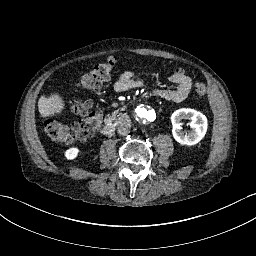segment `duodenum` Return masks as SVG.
Here are the masks:
<instances>
[{
  "label": "duodenum",
  "mask_w": 256,
  "mask_h": 256,
  "mask_svg": "<svg viewBox=\"0 0 256 256\" xmlns=\"http://www.w3.org/2000/svg\"><path fill=\"white\" fill-rule=\"evenodd\" d=\"M127 117L128 118H133L134 117V112L133 111H128L127 112ZM127 117H125V116L120 117V119H119L120 124H122V125L127 124V122H128ZM117 125H118V121L117 120H115V121H113L111 123L106 124L101 129V134L103 136H106V137L112 136L114 134V131H115V128H116Z\"/></svg>",
  "instance_id": "1"
}]
</instances>
